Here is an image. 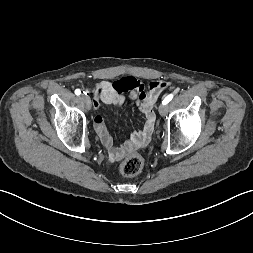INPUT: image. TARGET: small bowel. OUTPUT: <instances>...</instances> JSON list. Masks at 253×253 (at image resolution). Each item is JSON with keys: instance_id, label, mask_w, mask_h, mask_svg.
Segmentation results:
<instances>
[{"instance_id": "1", "label": "small bowel", "mask_w": 253, "mask_h": 253, "mask_svg": "<svg viewBox=\"0 0 253 253\" xmlns=\"http://www.w3.org/2000/svg\"><path fill=\"white\" fill-rule=\"evenodd\" d=\"M167 82L163 80L152 81L149 84L148 93L144 86L133 77H124L111 83L101 81L94 91V107L98 109L101 103L113 106H121L126 99H130L144 115V124L140 130L133 131L130 137L120 145H114L113 138L106 128L104 119L100 115L94 117L95 131L102 144L108 149L109 159L113 162L119 161L135 149H138L148 143L150 140L154 125L155 113L153 105L159 95L167 88ZM128 96L123 92H128Z\"/></svg>"}]
</instances>
